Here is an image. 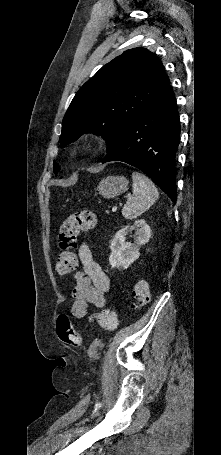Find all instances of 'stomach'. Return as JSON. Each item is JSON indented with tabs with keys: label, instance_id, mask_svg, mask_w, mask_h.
Returning a JSON list of instances; mask_svg holds the SVG:
<instances>
[{
	"label": "stomach",
	"instance_id": "1",
	"mask_svg": "<svg viewBox=\"0 0 221 455\" xmlns=\"http://www.w3.org/2000/svg\"><path fill=\"white\" fill-rule=\"evenodd\" d=\"M128 180L124 176H108L97 186V191L104 198L112 199L128 190Z\"/></svg>",
	"mask_w": 221,
	"mask_h": 455
}]
</instances>
